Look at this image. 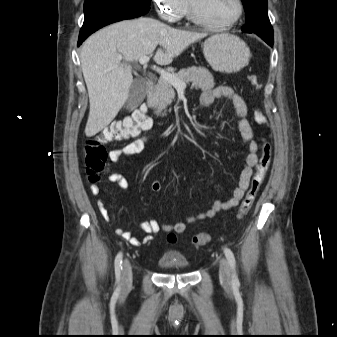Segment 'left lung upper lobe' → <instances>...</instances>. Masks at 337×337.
<instances>
[{
    "label": "left lung upper lobe",
    "instance_id": "left-lung-upper-lobe-1",
    "mask_svg": "<svg viewBox=\"0 0 337 337\" xmlns=\"http://www.w3.org/2000/svg\"><path fill=\"white\" fill-rule=\"evenodd\" d=\"M246 12L242 31L273 38V28L267 13V0H241Z\"/></svg>",
    "mask_w": 337,
    "mask_h": 337
}]
</instances>
